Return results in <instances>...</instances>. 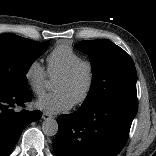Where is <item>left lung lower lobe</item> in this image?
Wrapping results in <instances>:
<instances>
[{"label": "left lung lower lobe", "mask_w": 156, "mask_h": 156, "mask_svg": "<svg viewBox=\"0 0 156 156\" xmlns=\"http://www.w3.org/2000/svg\"><path fill=\"white\" fill-rule=\"evenodd\" d=\"M138 105L111 100L58 117L56 156H116L124 147Z\"/></svg>", "instance_id": "obj_1"}]
</instances>
